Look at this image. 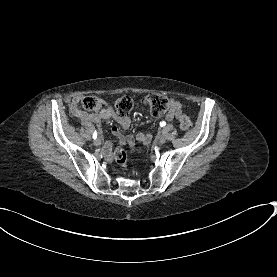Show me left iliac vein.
<instances>
[{"instance_id": "left-iliac-vein-1", "label": "left iliac vein", "mask_w": 277, "mask_h": 277, "mask_svg": "<svg viewBox=\"0 0 277 277\" xmlns=\"http://www.w3.org/2000/svg\"><path fill=\"white\" fill-rule=\"evenodd\" d=\"M158 141H159V144L162 145V144H164L166 142V139H165V137L163 135H161V136H159Z\"/></svg>"}]
</instances>
